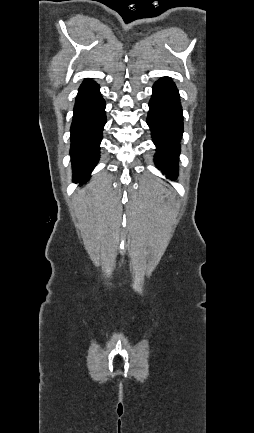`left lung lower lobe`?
Wrapping results in <instances>:
<instances>
[{
	"mask_svg": "<svg viewBox=\"0 0 254 433\" xmlns=\"http://www.w3.org/2000/svg\"><path fill=\"white\" fill-rule=\"evenodd\" d=\"M147 124L157 147L156 165L162 172L167 173V178L175 180L178 175L183 116L179 92L169 77H163L153 86Z\"/></svg>",
	"mask_w": 254,
	"mask_h": 433,
	"instance_id": "left-lung-lower-lobe-1",
	"label": "left lung lower lobe"
}]
</instances>
